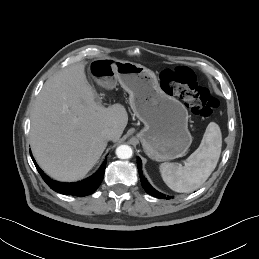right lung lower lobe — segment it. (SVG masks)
<instances>
[{
  "label": "right lung lower lobe",
  "mask_w": 259,
  "mask_h": 259,
  "mask_svg": "<svg viewBox=\"0 0 259 259\" xmlns=\"http://www.w3.org/2000/svg\"><path fill=\"white\" fill-rule=\"evenodd\" d=\"M30 155L43 180L52 190L58 193H61L64 195H73V196H86V195L92 194L95 190H97V188L99 187V185L103 180L107 159L104 160L99 170L88 179H85L83 181L76 182V183H62V182L55 181L51 179L49 176H47L38 167L31 152H30Z\"/></svg>",
  "instance_id": "obj_1"
}]
</instances>
